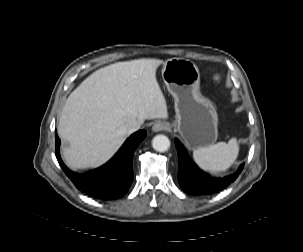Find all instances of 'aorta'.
<instances>
[{"label":"aorta","instance_id":"obj_1","mask_svg":"<svg viewBox=\"0 0 303 252\" xmlns=\"http://www.w3.org/2000/svg\"><path fill=\"white\" fill-rule=\"evenodd\" d=\"M152 147L158 152H164L170 147V140L163 134L156 135L152 140Z\"/></svg>","mask_w":303,"mask_h":252}]
</instances>
